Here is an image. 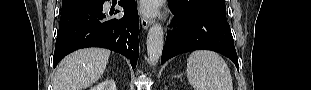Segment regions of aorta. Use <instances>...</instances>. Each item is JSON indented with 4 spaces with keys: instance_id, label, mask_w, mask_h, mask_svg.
<instances>
[{
    "instance_id": "obj_1",
    "label": "aorta",
    "mask_w": 311,
    "mask_h": 90,
    "mask_svg": "<svg viewBox=\"0 0 311 90\" xmlns=\"http://www.w3.org/2000/svg\"><path fill=\"white\" fill-rule=\"evenodd\" d=\"M148 63L154 67L158 63L164 46V32L159 23L153 24L147 35Z\"/></svg>"
}]
</instances>
